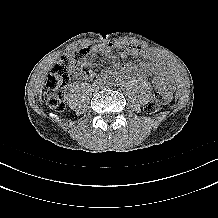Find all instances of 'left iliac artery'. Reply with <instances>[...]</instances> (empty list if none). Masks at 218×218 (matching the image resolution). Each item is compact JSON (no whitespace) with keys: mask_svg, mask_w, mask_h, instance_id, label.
Wrapping results in <instances>:
<instances>
[{"mask_svg":"<svg viewBox=\"0 0 218 218\" xmlns=\"http://www.w3.org/2000/svg\"><path fill=\"white\" fill-rule=\"evenodd\" d=\"M108 84H109V85H112V84H113V82H112V81H110V80H108Z\"/></svg>","mask_w":218,"mask_h":218,"instance_id":"44dca946","label":"left iliac artery"}]
</instances>
